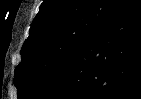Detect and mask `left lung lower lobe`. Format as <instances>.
Segmentation results:
<instances>
[{"label":"left lung lower lobe","instance_id":"1","mask_svg":"<svg viewBox=\"0 0 141 99\" xmlns=\"http://www.w3.org/2000/svg\"><path fill=\"white\" fill-rule=\"evenodd\" d=\"M37 99H141V0H121Z\"/></svg>","mask_w":141,"mask_h":99}]
</instances>
